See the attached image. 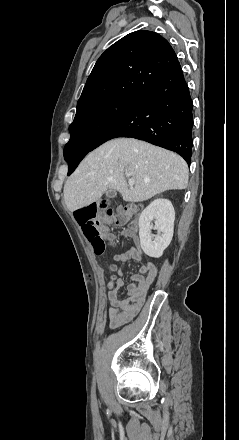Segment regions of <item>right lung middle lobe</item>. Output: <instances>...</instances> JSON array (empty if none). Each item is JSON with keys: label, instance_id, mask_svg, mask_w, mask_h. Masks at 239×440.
<instances>
[{"label": "right lung middle lobe", "instance_id": "1", "mask_svg": "<svg viewBox=\"0 0 239 440\" xmlns=\"http://www.w3.org/2000/svg\"><path fill=\"white\" fill-rule=\"evenodd\" d=\"M134 100L135 97L117 96L77 112L69 127L71 137L64 151L90 149L98 136L116 122Z\"/></svg>", "mask_w": 239, "mask_h": 440}]
</instances>
